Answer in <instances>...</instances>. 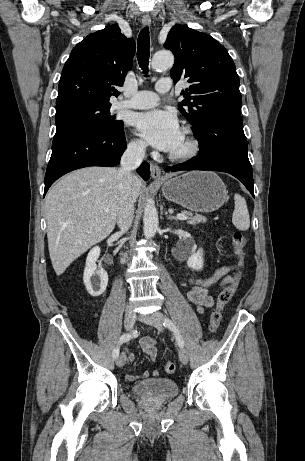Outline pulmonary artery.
Listing matches in <instances>:
<instances>
[{
  "instance_id": "pulmonary-artery-1",
  "label": "pulmonary artery",
  "mask_w": 305,
  "mask_h": 461,
  "mask_svg": "<svg viewBox=\"0 0 305 461\" xmlns=\"http://www.w3.org/2000/svg\"><path fill=\"white\" fill-rule=\"evenodd\" d=\"M155 89L158 93H166L171 89V80L169 78L160 79ZM158 95L152 91H139L136 92L130 99L120 100L117 103L119 108L129 109H148L157 105Z\"/></svg>"
}]
</instances>
